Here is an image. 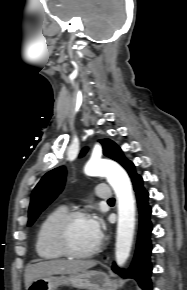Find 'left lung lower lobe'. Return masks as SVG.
<instances>
[{"mask_svg":"<svg viewBox=\"0 0 187 290\" xmlns=\"http://www.w3.org/2000/svg\"><path fill=\"white\" fill-rule=\"evenodd\" d=\"M133 187L136 192L139 208V234L136 247V253L130 269L125 272L119 269L115 264L112 270L123 278L135 279L143 290H152L150 275L152 272L150 253L152 250L150 233L152 225L150 221L151 208L148 205V192L143 187V180L138 176L133 181Z\"/></svg>","mask_w":187,"mask_h":290,"instance_id":"1","label":"left lung lower lobe"}]
</instances>
